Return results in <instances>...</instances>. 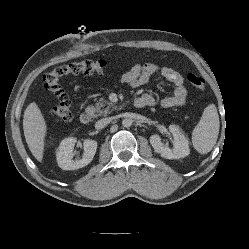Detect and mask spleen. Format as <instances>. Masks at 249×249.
<instances>
[{"label":"spleen","mask_w":249,"mask_h":249,"mask_svg":"<svg viewBox=\"0 0 249 249\" xmlns=\"http://www.w3.org/2000/svg\"><path fill=\"white\" fill-rule=\"evenodd\" d=\"M219 115L214 104L208 105L192 132V143L200 154H207L216 144L219 134Z\"/></svg>","instance_id":"spleen-1"}]
</instances>
